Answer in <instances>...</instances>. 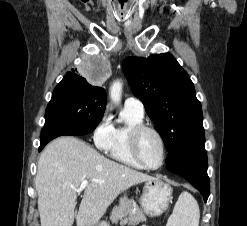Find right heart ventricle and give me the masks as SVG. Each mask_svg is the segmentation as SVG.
<instances>
[{
    "instance_id": "1",
    "label": "right heart ventricle",
    "mask_w": 247,
    "mask_h": 226,
    "mask_svg": "<svg viewBox=\"0 0 247 226\" xmlns=\"http://www.w3.org/2000/svg\"><path fill=\"white\" fill-rule=\"evenodd\" d=\"M144 114L124 107L121 122L111 125V137L105 153L112 159L133 168L142 167L134 160L129 148V133L137 125L143 124Z\"/></svg>"
}]
</instances>
